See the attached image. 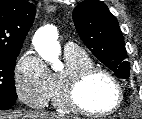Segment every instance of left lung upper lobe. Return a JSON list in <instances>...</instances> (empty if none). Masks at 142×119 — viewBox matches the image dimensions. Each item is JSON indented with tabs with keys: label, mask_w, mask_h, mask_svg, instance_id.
Wrapping results in <instances>:
<instances>
[{
	"label": "left lung upper lobe",
	"mask_w": 142,
	"mask_h": 119,
	"mask_svg": "<svg viewBox=\"0 0 142 119\" xmlns=\"http://www.w3.org/2000/svg\"><path fill=\"white\" fill-rule=\"evenodd\" d=\"M76 30L88 49L122 79L130 76V63L119 23L99 0H85L73 10Z\"/></svg>",
	"instance_id": "obj_1"
}]
</instances>
